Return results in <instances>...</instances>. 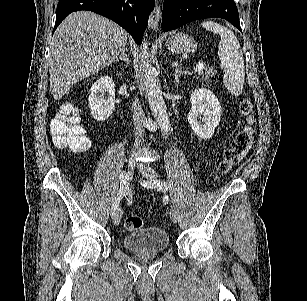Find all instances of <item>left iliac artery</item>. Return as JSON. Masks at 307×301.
Instances as JSON below:
<instances>
[{
	"instance_id": "44dca946",
	"label": "left iliac artery",
	"mask_w": 307,
	"mask_h": 301,
	"mask_svg": "<svg viewBox=\"0 0 307 301\" xmlns=\"http://www.w3.org/2000/svg\"><path fill=\"white\" fill-rule=\"evenodd\" d=\"M148 184H149V182L145 184V187H146ZM153 184H156L157 187H158L160 190H167V184H166V182L163 181V180L157 179V180L153 181Z\"/></svg>"
}]
</instances>
